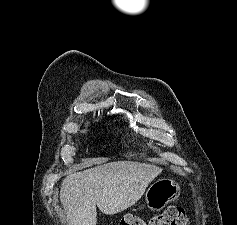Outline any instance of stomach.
<instances>
[{
  "label": "stomach",
  "mask_w": 237,
  "mask_h": 225,
  "mask_svg": "<svg viewBox=\"0 0 237 225\" xmlns=\"http://www.w3.org/2000/svg\"><path fill=\"white\" fill-rule=\"evenodd\" d=\"M180 195V186L172 179L162 178L148 188L145 198L148 207L153 211L162 210L168 203Z\"/></svg>",
  "instance_id": "0dacf381"
}]
</instances>
